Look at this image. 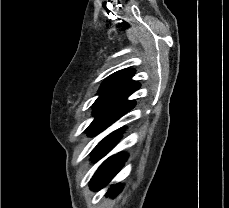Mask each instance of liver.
Masks as SVG:
<instances>
[{
	"instance_id": "obj_1",
	"label": "liver",
	"mask_w": 229,
	"mask_h": 208,
	"mask_svg": "<svg viewBox=\"0 0 229 208\" xmlns=\"http://www.w3.org/2000/svg\"><path fill=\"white\" fill-rule=\"evenodd\" d=\"M100 208H111L110 200H106V202H104V204H101Z\"/></svg>"
}]
</instances>
